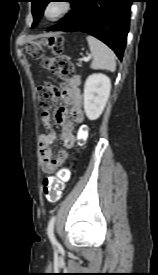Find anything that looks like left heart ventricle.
<instances>
[{
	"instance_id": "left-heart-ventricle-1",
	"label": "left heart ventricle",
	"mask_w": 158,
	"mask_h": 275,
	"mask_svg": "<svg viewBox=\"0 0 158 275\" xmlns=\"http://www.w3.org/2000/svg\"><path fill=\"white\" fill-rule=\"evenodd\" d=\"M61 7L58 4L53 5L50 9H49V15L50 16H54L56 15L59 11H60Z\"/></svg>"
}]
</instances>
